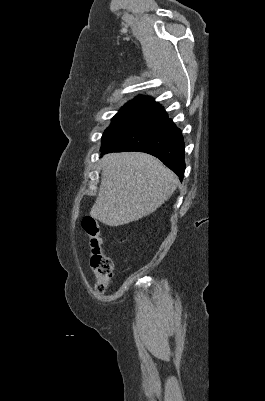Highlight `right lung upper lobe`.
I'll return each instance as SVG.
<instances>
[{
  "label": "right lung upper lobe",
  "mask_w": 265,
  "mask_h": 401,
  "mask_svg": "<svg viewBox=\"0 0 265 401\" xmlns=\"http://www.w3.org/2000/svg\"><path fill=\"white\" fill-rule=\"evenodd\" d=\"M129 104H149V105L160 106L157 102L154 101L153 98H151L149 96H138L135 99L129 101L126 105H129Z\"/></svg>",
  "instance_id": "1"
}]
</instances>
